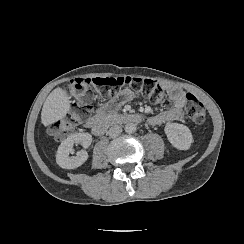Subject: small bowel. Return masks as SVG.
Segmentation results:
<instances>
[{"label": "small bowel", "mask_w": 244, "mask_h": 244, "mask_svg": "<svg viewBox=\"0 0 244 244\" xmlns=\"http://www.w3.org/2000/svg\"><path fill=\"white\" fill-rule=\"evenodd\" d=\"M163 89L166 92L167 99L172 103V107L149 117V123L154 126L162 125L167 122H179L184 118V107L187 103V93L178 85L171 83L163 84ZM132 99V90L128 88L123 89L119 95L104 104L102 108L95 113V115L90 117L86 121L85 126L92 127V125L96 124L103 118V111L120 108Z\"/></svg>", "instance_id": "small-bowel-1"}]
</instances>
